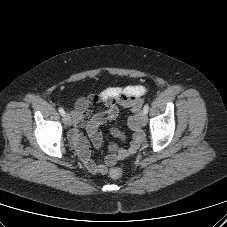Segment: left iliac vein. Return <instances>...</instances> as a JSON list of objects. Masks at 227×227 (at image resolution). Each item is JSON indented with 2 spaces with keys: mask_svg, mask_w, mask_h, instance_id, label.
Masks as SVG:
<instances>
[{
  "mask_svg": "<svg viewBox=\"0 0 227 227\" xmlns=\"http://www.w3.org/2000/svg\"><path fill=\"white\" fill-rule=\"evenodd\" d=\"M138 121L142 126H145L147 123V115L144 111H141L138 115Z\"/></svg>",
  "mask_w": 227,
  "mask_h": 227,
  "instance_id": "left-iliac-vein-1",
  "label": "left iliac vein"
}]
</instances>
